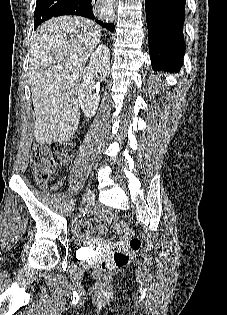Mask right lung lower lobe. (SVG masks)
I'll list each match as a JSON object with an SVG mask.
<instances>
[{
	"mask_svg": "<svg viewBox=\"0 0 227 315\" xmlns=\"http://www.w3.org/2000/svg\"><path fill=\"white\" fill-rule=\"evenodd\" d=\"M96 1L94 0H70L65 5H63L53 17L63 16V15H77L95 20L99 25L105 27L111 32L114 31L115 27L113 23H103L98 20L93 14V7Z\"/></svg>",
	"mask_w": 227,
	"mask_h": 315,
	"instance_id": "obj_1",
	"label": "right lung lower lobe"
}]
</instances>
